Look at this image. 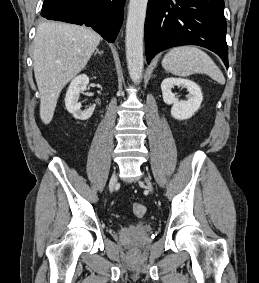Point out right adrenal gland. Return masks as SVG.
<instances>
[{
  "label": "right adrenal gland",
  "instance_id": "2a0ac1e0",
  "mask_svg": "<svg viewBox=\"0 0 259 283\" xmlns=\"http://www.w3.org/2000/svg\"><path fill=\"white\" fill-rule=\"evenodd\" d=\"M97 54L102 55V54H103V51H99V50L97 49L94 55H97Z\"/></svg>",
  "mask_w": 259,
  "mask_h": 283
}]
</instances>
